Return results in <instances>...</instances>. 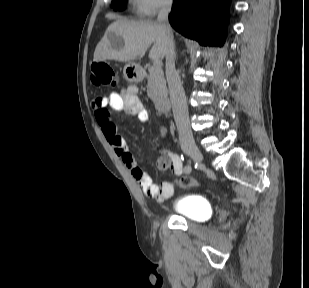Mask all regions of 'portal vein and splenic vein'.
Returning <instances> with one entry per match:
<instances>
[{
	"label": "portal vein and splenic vein",
	"instance_id": "18ae733b",
	"mask_svg": "<svg viewBox=\"0 0 309 288\" xmlns=\"http://www.w3.org/2000/svg\"><path fill=\"white\" fill-rule=\"evenodd\" d=\"M162 66V61L159 58H155L153 61V67L156 69H160Z\"/></svg>",
	"mask_w": 309,
	"mask_h": 288
}]
</instances>
